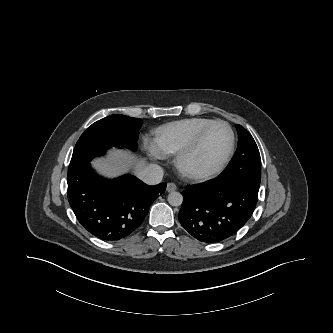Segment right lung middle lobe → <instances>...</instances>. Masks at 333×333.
Listing matches in <instances>:
<instances>
[{"label": "right lung middle lobe", "instance_id": "dd1d6c3e", "mask_svg": "<svg viewBox=\"0 0 333 333\" xmlns=\"http://www.w3.org/2000/svg\"><path fill=\"white\" fill-rule=\"evenodd\" d=\"M142 119L124 115L105 117L88 127L77 141L68 173L104 155L111 147H124L135 151Z\"/></svg>", "mask_w": 333, "mask_h": 333}]
</instances>
